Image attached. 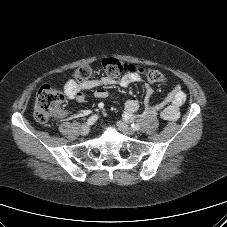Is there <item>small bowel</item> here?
<instances>
[{
    "instance_id": "small-bowel-1",
    "label": "small bowel",
    "mask_w": 227,
    "mask_h": 227,
    "mask_svg": "<svg viewBox=\"0 0 227 227\" xmlns=\"http://www.w3.org/2000/svg\"><path fill=\"white\" fill-rule=\"evenodd\" d=\"M142 81V76L137 72L126 73L117 81L111 77L87 79L83 82L69 80L64 85V91L68 98L85 103L87 101L86 90H94V96L98 99H107L110 95L105 86L118 83L121 87H128ZM185 101L186 94L179 86L175 87L163 99L155 101L153 88L150 84L145 83L144 102L147 108L154 112H160L164 120L176 121L180 116V107ZM123 107L125 117L131 119L139 110L140 103L136 99H129L124 102Z\"/></svg>"
}]
</instances>
